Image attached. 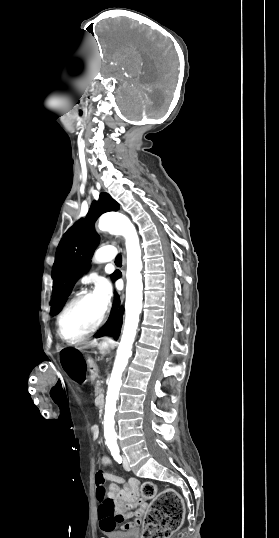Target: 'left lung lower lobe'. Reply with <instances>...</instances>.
I'll use <instances>...</instances> for the list:
<instances>
[{
	"instance_id": "left-lung-lower-lobe-1",
	"label": "left lung lower lobe",
	"mask_w": 279,
	"mask_h": 538,
	"mask_svg": "<svg viewBox=\"0 0 279 538\" xmlns=\"http://www.w3.org/2000/svg\"><path fill=\"white\" fill-rule=\"evenodd\" d=\"M119 305H120L119 296L116 295L113 309L111 311L109 319L106 322V324L99 331H97V333L94 335L95 337H102V336L111 335L114 333L117 336L120 335V330L122 326L123 308L122 307L119 308Z\"/></svg>"
}]
</instances>
